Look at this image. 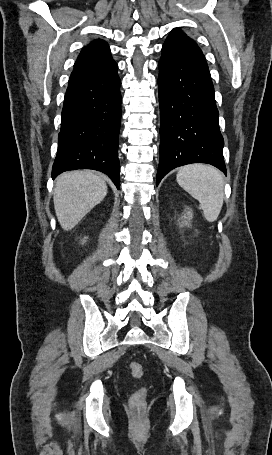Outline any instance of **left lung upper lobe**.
Segmentation results:
<instances>
[{"mask_svg":"<svg viewBox=\"0 0 272 455\" xmlns=\"http://www.w3.org/2000/svg\"><path fill=\"white\" fill-rule=\"evenodd\" d=\"M161 59L175 63L183 61L206 62L198 45L180 28H174L168 35L162 47Z\"/></svg>","mask_w":272,"mask_h":455,"instance_id":"1","label":"left lung upper lobe"}]
</instances>
